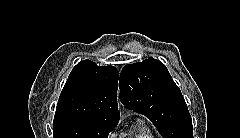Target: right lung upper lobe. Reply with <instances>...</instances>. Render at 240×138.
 Returning a JSON list of instances; mask_svg holds the SVG:
<instances>
[{"instance_id": "1", "label": "right lung upper lobe", "mask_w": 240, "mask_h": 138, "mask_svg": "<svg viewBox=\"0 0 240 138\" xmlns=\"http://www.w3.org/2000/svg\"><path fill=\"white\" fill-rule=\"evenodd\" d=\"M119 72L113 66H97L90 60L79 62L61 92L55 118L83 119L117 125Z\"/></svg>"}]
</instances>
